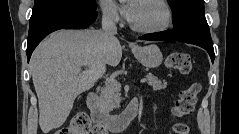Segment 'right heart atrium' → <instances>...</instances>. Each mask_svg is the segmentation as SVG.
<instances>
[{
	"mask_svg": "<svg viewBox=\"0 0 239 134\" xmlns=\"http://www.w3.org/2000/svg\"><path fill=\"white\" fill-rule=\"evenodd\" d=\"M100 8L105 21L118 23L121 20L120 10L113 0H101Z\"/></svg>",
	"mask_w": 239,
	"mask_h": 134,
	"instance_id": "1",
	"label": "right heart atrium"
}]
</instances>
